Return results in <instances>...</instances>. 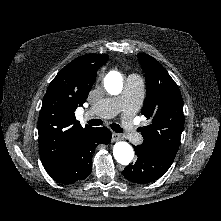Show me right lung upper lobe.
Returning a JSON list of instances; mask_svg holds the SVG:
<instances>
[{
	"mask_svg": "<svg viewBox=\"0 0 221 221\" xmlns=\"http://www.w3.org/2000/svg\"><path fill=\"white\" fill-rule=\"evenodd\" d=\"M107 54H86L71 61L52 80L43 99L38 120L41 161L54 178L63 169L70 149L85 131L75 118V110L83 106L104 65Z\"/></svg>",
	"mask_w": 221,
	"mask_h": 221,
	"instance_id": "cb5924a9",
	"label": "right lung upper lobe"
}]
</instances>
